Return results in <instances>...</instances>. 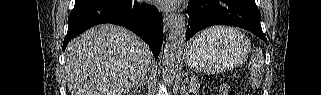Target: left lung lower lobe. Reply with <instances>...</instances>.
Returning <instances> with one entry per match:
<instances>
[{
  "mask_svg": "<svg viewBox=\"0 0 321 95\" xmlns=\"http://www.w3.org/2000/svg\"><path fill=\"white\" fill-rule=\"evenodd\" d=\"M186 40L213 25H230L246 29L266 42L261 15L255 0H190Z\"/></svg>",
  "mask_w": 321,
  "mask_h": 95,
  "instance_id": "1",
  "label": "left lung lower lobe"
}]
</instances>
